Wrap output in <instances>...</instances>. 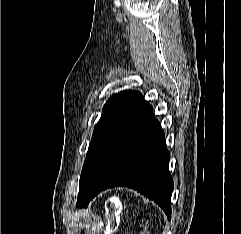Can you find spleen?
<instances>
[{"instance_id": "obj_1", "label": "spleen", "mask_w": 241, "mask_h": 234, "mask_svg": "<svg viewBox=\"0 0 241 234\" xmlns=\"http://www.w3.org/2000/svg\"><path fill=\"white\" fill-rule=\"evenodd\" d=\"M147 223H148V222H147ZM147 223H146V224H147ZM145 233L149 234V231L147 230V226H145L144 232H142V234H145Z\"/></svg>"}]
</instances>
